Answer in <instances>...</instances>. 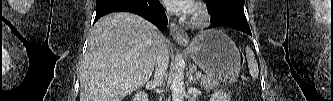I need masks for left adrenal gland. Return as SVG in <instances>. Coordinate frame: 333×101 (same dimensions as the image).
I'll use <instances>...</instances> for the list:
<instances>
[{
  "label": "left adrenal gland",
  "instance_id": "obj_1",
  "mask_svg": "<svg viewBox=\"0 0 333 101\" xmlns=\"http://www.w3.org/2000/svg\"><path fill=\"white\" fill-rule=\"evenodd\" d=\"M193 73H194V69L191 68L190 69L189 80H190L191 83L197 84L196 78L193 76Z\"/></svg>",
  "mask_w": 333,
  "mask_h": 101
}]
</instances>
